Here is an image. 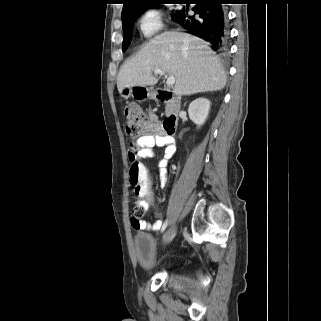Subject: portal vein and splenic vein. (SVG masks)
I'll list each match as a JSON object with an SVG mask.
<instances>
[{"label":"portal vein and splenic vein","instance_id":"1","mask_svg":"<svg viewBox=\"0 0 321 321\" xmlns=\"http://www.w3.org/2000/svg\"><path fill=\"white\" fill-rule=\"evenodd\" d=\"M154 74L165 75V72L162 71L161 69H154ZM166 84H167L168 87H172L175 84V77L174 76H169L167 78Z\"/></svg>","mask_w":321,"mask_h":321}]
</instances>
